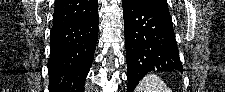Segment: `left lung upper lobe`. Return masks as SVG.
I'll return each instance as SVG.
<instances>
[{"label": "left lung upper lobe", "mask_w": 225, "mask_h": 92, "mask_svg": "<svg viewBox=\"0 0 225 92\" xmlns=\"http://www.w3.org/2000/svg\"><path fill=\"white\" fill-rule=\"evenodd\" d=\"M136 1L141 2L144 5L169 12L168 3L166 0H136Z\"/></svg>", "instance_id": "left-lung-upper-lobe-1"}]
</instances>
